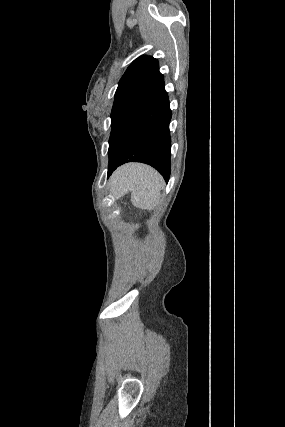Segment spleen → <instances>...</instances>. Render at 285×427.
<instances>
[{
	"label": "spleen",
	"instance_id": "obj_1",
	"mask_svg": "<svg viewBox=\"0 0 285 427\" xmlns=\"http://www.w3.org/2000/svg\"><path fill=\"white\" fill-rule=\"evenodd\" d=\"M114 176L113 190L132 192L134 206L153 210L159 202L160 191L164 186L162 176L153 168L143 164H131Z\"/></svg>",
	"mask_w": 285,
	"mask_h": 427
}]
</instances>
